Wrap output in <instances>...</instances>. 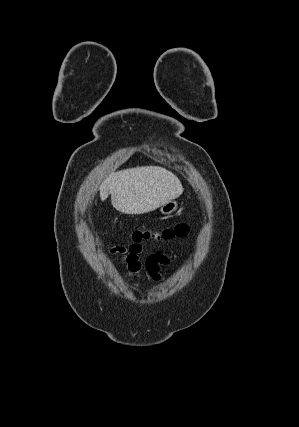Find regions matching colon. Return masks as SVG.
Wrapping results in <instances>:
<instances>
[{"mask_svg":"<svg viewBox=\"0 0 299 427\" xmlns=\"http://www.w3.org/2000/svg\"><path fill=\"white\" fill-rule=\"evenodd\" d=\"M189 233V226L185 223H178L170 227H166L157 233L147 231H134L130 234V239L134 242H141L150 238L169 240L177 237H184ZM118 250H122L119 248Z\"/></svg>","mask_w":299,"mask_h":427,"instance_id":"colon-1","label":"colon"}]
</instances>
